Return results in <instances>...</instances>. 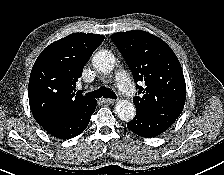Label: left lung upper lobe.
<instances>
[{
	"mask_svg": "<svg viewBox=\"0 0 224 175\" xmlns=\"http://www.w3.org/2000/svg\"><path fill=\"white\" fill-rule=\"evenodd\" d=\"M129 68L140 96L133 102L136 111L178 118L186 99L181 65L172 49L160 38L141 30L111 35Z\"/></svg>",
	"mask_w": 224,
	"mask_h": 175,
	"instance_id": "1",
	"label": "left lung upper lobe"
}]
</instances>
